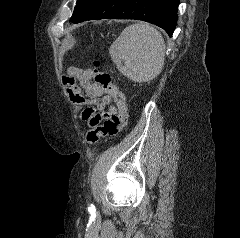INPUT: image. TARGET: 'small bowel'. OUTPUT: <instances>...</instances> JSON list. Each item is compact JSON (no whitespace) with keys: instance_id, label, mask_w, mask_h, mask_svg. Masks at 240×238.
<instances>
[{"instance_id":"1","label":"small bowel","mask_w":240,"mask_h":238,"mask_svg":"<svg viewBox=\"0 0 240 238\" xmlns=\"http://www.w3.org/2000/svg\"><path fill=\"white\" fill-rule=\"evenodd\" d=\"M63 84L70 100L84 106L79 117L86 121L89 127L100 124L104 119L118 112V106L113 104V98L96 82H92L90 70L69 67L63 76Z\"/></svg>"}]
</instances>
